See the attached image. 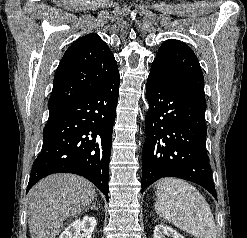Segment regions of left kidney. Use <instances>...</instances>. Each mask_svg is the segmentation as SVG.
<instances>
[{"instance_id":"obj_1","label":"left kidney","mask_w":247,"mask_h":238,"mask_svg":"<svg viewBox=\"0 0 247 238\" xmlns=\"http://www.w3.org/2000/svg\"><path fill=\"white\" fill-rule=\"evenodd\" d=\"M167 237H173V238H184L182 235H180L176 230H174L171 227H167L164 225H156L154 230V236L153 238H165Z\"/></svg>"}]
</instances>
